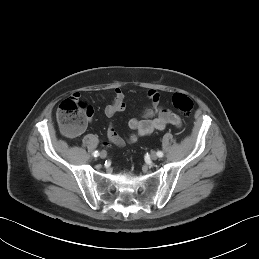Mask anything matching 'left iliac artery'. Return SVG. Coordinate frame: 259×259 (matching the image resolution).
<instances>
[{
    "label": "left iliac artery",
    "mask_w": 259,
    "mask_h": 259,
    "mask_svg": "<svg viewBox=\"0 0 259 259\" xmlns=\"http://www.w3.org/2000/svg\"><path fill=\"white\" fill-rule=\"evenodd\" d=\"M163 155H164V154H163L162 151H158V152H157V156H158V157H163Z\"/></svg>",
    "instance_id": "left-iliac-artery-1"
}]
</instances>
